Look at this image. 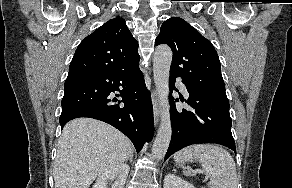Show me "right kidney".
Listing matches in <instances>:
<instances>
[{
  "mask_svg": "<svg viewBox=\"0 0 292 188\" xmlns=\"http://www.w3.org/2000/svg\"><path fill=\"white\" fill-rule=\"evenodd\" d=\"M129 170V166L124 163L111 168L97 178L92 188H108V181H113L114 179L112 188H124Z\"/></svg>",
  "mask_w": 292,
  "mask_h": 188,
  "instance_id": "ca27d5eb",
  "label": "right kidney"
}]
</instances>
